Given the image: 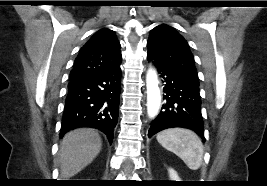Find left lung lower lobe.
<instances>
[{
    "instance_id": "obj_1",
    "label": "left lung lower lobe",
    "mask_w": 267,
    "mask_h": 186,
    "mask_svg": "<svg viewBox=\"0 0 267 186\" xmlns=\"http://www.w3.org/2000/svg\"><path fill=\"white\" fill-rule=\"evenodd\" d=\"M154 65L162 81L165 82L163 96L165 103L158 116L152 121L148 137L167 128L182 127L195 131L204 139L199 84L167 67L157 63Z\"/></svg>"
}]
</instances>
